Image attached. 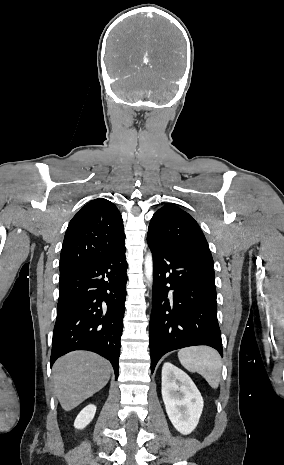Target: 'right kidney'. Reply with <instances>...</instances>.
I'll return each instance as SVG.
<instances>
[{"mask_svg":"<svg viewBox=\"0 0 284 465\" xmlns=\"http://www.w3.org/2000/svg\"><path fill=\"white\" fill-rule=\"evenodd\" d=\"M95 413V405H87V407H85V409H82L79 415H77L74 421L75 429H85V427H87V425L91 423L92 419H94Z\"/></svg>","mask_w":284,"mask_h":465,"instance_id":"obj_1","label":"right kidney"}]
</instances>
